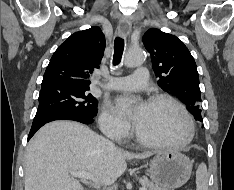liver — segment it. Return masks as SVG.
<instances>
[{"instance_id":"6515ba94","label":"liver","mask_w":234,"mask_h":190,"mask_svg":"<svg viewBox=\"0 0 234 190\" xmlns=\"http://www.w3.org/2000/svg\"><path fill=\"white\" fill-rule=\"evenodd\" d=\"M152 153L123 151L87 126L55 121L29 141L25 154V190H84L70 171L88 172L94 184L111 185L126 170V160Z\"/></svg>"}]
</instances>
